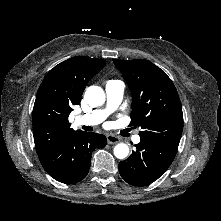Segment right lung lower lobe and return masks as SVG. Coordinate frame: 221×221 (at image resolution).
I'll use <instances>...</instances> for the list:
<instances>
[{
  "instance_id": "obj_1",
  "label": "right lung lower lobe",
  "mask_w": 221,
  "mask_h": 221,
  "mask_svg": "<svg viewBox=\"0 0 221 221\" xmlns=\"http://www.w3.org/2000/svg\"><path fill=\"white\" fill-rule=\"evenodd\" d=\"M106 144L107 139L102 134L79 131L40 155L39 160L55 180L65 184L76 183L87 176L92 152Z\"/></svg>"
}]
</instances>
